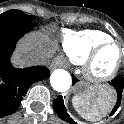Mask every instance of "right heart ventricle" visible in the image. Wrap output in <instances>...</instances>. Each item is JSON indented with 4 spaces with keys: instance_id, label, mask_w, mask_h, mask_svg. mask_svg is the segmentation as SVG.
Masks as SVG:
<instances>
[{
    "instance_id": "obj_1",
    "label": "right heart ventricle",
    "mask_w": 124,
    "mask_h": 124,
    "mask_svg": "<svg viewBox=\"0 0 124 124\" xmlns=\"http://www.w3.org/2000/svg\"><path fill=\"white\" fill-rule=\"evenodd\" d=\"M110 40V35L98 29L63 30L59 47L69 61L81 65L95 46Z\"/></svg>"
}]
</instances>
